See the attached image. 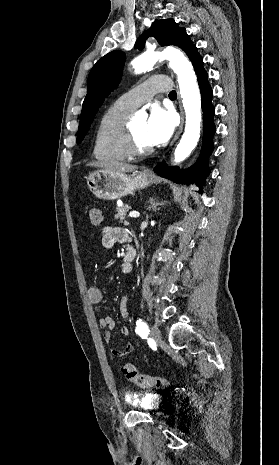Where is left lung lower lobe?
Here are the masks:
<instances>
[{
  "instance_id": "0a47b994",
  "label": "left lung lower lobe",
  "mask_w": 279,
  "mask_h": 465,
  "mask_svg": "<svg viewBox=\"0 0 279 465\" xmlns=\"http://www.w3.org/2000/svg\"><path fill=\"white\" fill-rule=\"evenodd\" d=\"M193 67L197 75L198 84L200 87L201 98H202V110H203V142L200 156L195 165L186 171L181 172L178 167H168L164 163H159L154 171L161 177H165L175 182L186 181L187 184L195 182L198 186L203 185L205 177L209 174V170L205 169L207 166V157L214 149L213 147V135L215 134L216 128L213 123L214 107L211 103L212 89L208 83V75L203 68V59L200 56L193 62ZM202 193V191H199Z\"/></svg>"
}]
</instances>
